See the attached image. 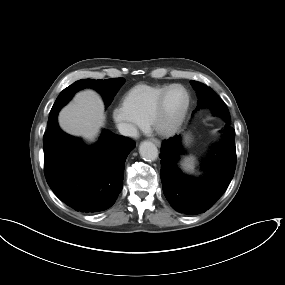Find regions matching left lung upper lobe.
I'll return each mask as SVG.
<instances>
[{"label":"left lung upper lobe","mask_w":285,"mask_h":285,"mask_svg":"<svg viewBox=\"0 0 285 285\" xmlns=\"http://www.w3.org/2000/svg\"><path fill=\"white\" fill-rule=\"evenodd\" d=\"M191 84L196 89L199 98L196 110L203 107H209L213 110L214 114L223 117L225 120H230V114L225 103H223L221 109L212 108V100H221V98L210 87L193 80L191 81Z\"/></svg>","instance_id":"5c2ea615"}]
</instances>
